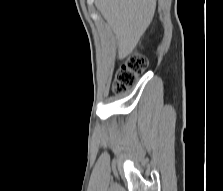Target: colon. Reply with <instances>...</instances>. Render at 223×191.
Wrapping results in <instances>:
<instances>
[{
	"label": "colon",
	"instance_id": "1",
	"mask_svg": "<svg viewBox=\"0 0 223 191\" xmlns=\"http://www.w3.org/2000/svg\"><path fill=\"white\" fill-rule=\"evenodd\" d=\"M148 66L147 58L141 53L131 55L117 70L112 85L114 95H121L132 88L138 75L143 73Z\"/></svg>",
	"mask_w": 223,
	"mask_h": 191
}]
</instances>
